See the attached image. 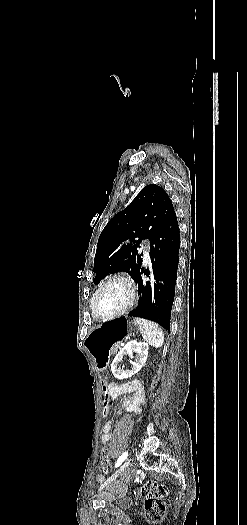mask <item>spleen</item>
I'll list each match as a JSON object with an SVG mask.
<instances>
[{"label": "spleen", "mask_w": 247, "mask_h": 525, "mask_svg": "<svg viewBox=\"0 0 247 525\" xmlns=\"http://www.w3.org/2000/svg\"><path fill=\"white\" fill-rule=\"evenodd\" d=\"M135 325H138L143 339L147 341L148 345L159 349L164 343V335L162 329H159L157 323H152V321H146V319H134Z\"/></svg>", "instance_id": "3e777b00"}]
</instances>
